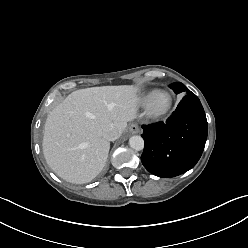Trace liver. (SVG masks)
<instances>
[{
    "label": "liver",
    "instance_id": "1",
    "mask_svg": "<svg viewBox=\"0 0 248 248\" xmlns=\"http://www.w3.org/2000/svg\"><path fill=\"white\" fill-rule=\"evenodd\" d=\"M138 88L102 86L72 92L48 115L43 153L56 175L72 183H87L104 168L110 143L103 130L113 126L119 136L136 118Z\"/></svg>",
    "mask_w": 248,
    "mask_h": 248
}]
</instances>
